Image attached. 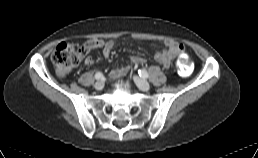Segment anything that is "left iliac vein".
Wrapping results in <instances>:
<instances>
[{
    "label": "left iliac vein",
    "instance_id": "4c4485c4",
    "mask_svg": "<svg viewBox=\"0 0 258 158\" xmlns=\"http://www.w3.org/2000/svg\"><path fill=\"white\" fill-rule=\"evenodd\" d=\"M133 79H134V82L136 83V85L138 86V88L141 89L142 91L150 90V85L145 79H142L139 76H134Z\"/></svg>",
    "mask_w": 258,
    "mask_h": 158
}]
</instances>
